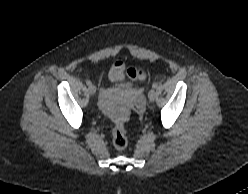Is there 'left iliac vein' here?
Returning a JSON list of instances; mask_svg holds the SVG:
<instances>
[{
  "label": "left iliac vein",
  "instance_id": "4c4485c4",
  "mask_svg": "<svg viewBox=\"0 0 248 194\" xmlns=\"http://www.w3.org/2000/svg\"><path fill=\"white\" fill-rule=\"evenodd\" d=\"M148 97L150 101H154L157 97V93L154 89L150 90L148 93Z\"/></svg>",
  "mask_w": 248,
  "mask_h": 194
}]
</instances>
